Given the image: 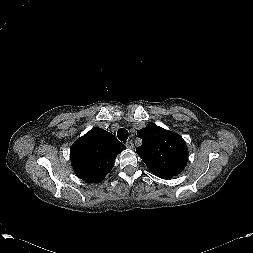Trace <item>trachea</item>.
Listing matches in <instances>:
<instances>
[{
	"mask_svg": "<svg viewBox=\"0 0 253 253\" xmlns=\"http://www.w3.org/2000/svg\"><path fill=\"white\" fill-rule=\"evenodd\" d=\"M129 133L125 128H120L117 132V137L121 141H125L128 139Z\"/></svg>",
	"mask_w": 253,
	"mask_h": 253,
	"instance_id": "trachea-1",
	"label": "trachea"
}]
</instances>
